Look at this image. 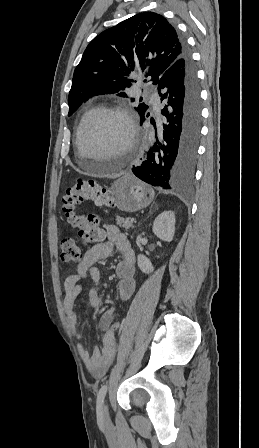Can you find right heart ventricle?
<instances>
[{"instance_id": "1", "label": "right heart ventricle", "mask_w": 259, "mask_h": 448, "mask_svg": "<svg viewBox=\"0 0 259 448\" xmlns=\"http://www.w3.org/2000/svg\"><path fill=\"white\" fill-rule=\"evenodd\" d=\"M98 109V106L96 104H91L86 110L85 112L82 114L77 127L75 129V133H74V148H78V135L80 132V129L84 123V121L91 116L96 110Z\"/></svg>"}]
</instances>
